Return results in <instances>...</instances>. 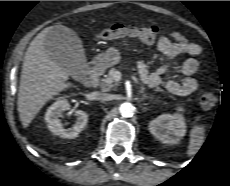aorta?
I'll return each mask as SVG.
<instances>
[{
    "label": "aorta",
    "instance_id": "762f6f07",
    "mask_svg": "<svg viewBox=\"0 0 230 186\" xmlns=\"http://www.w3.org/2000/svg\"><path fill=\"white\" fill-rule=\"evenodd\" d=\"M134 106L131 103H122L119 107L120 114L123 117H131L134 113Z\"/></svg>",
    "mask_w": 230,
    "mask_h": 186
}]
</instances>
